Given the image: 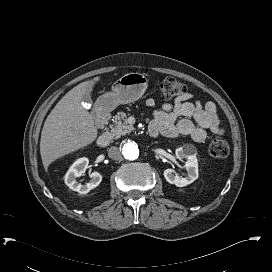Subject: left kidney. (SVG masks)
I'll return each instance as SVG.
<instances>
[{
  "mask_svg": "<svg viewBox=\"0 0 272 272\" xmlns=\"http://www.w3.org/2000/svg\"><path fill=\"white\" fill-rule=\"evenodd\" d=\"M196 148L194 145L187 144L177 148L175 151L176 157L179 160L186 159L185 168L187 175L180 177L174 173L172 169L164 170V177L170 184H175L177 187H185L193 183L198 178V161L196 158Z\"/></svg>",
  "mask_w": 272,
  "mask_h": 272,
  "instance_id": "left-kidney-1",
  "label": "left kidney"
}]
</instances>
